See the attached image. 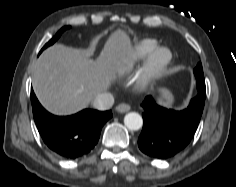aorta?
I'll use <instances>...</instances> for the list:
<instances>
[{
    "mask_svg": "<svg viewBox=\"0 0 236 187\" xmlns=\"http://www.w3.org/2000/svg\"><path fill=\"white\" fill-rule=\"evenodd\" d=\"M124 124L129 130H139L143 125V119L140 114L130 112L124 117Z\"/></svg>",
    "mask_w": 236,
    "mask_h": 187,
    "instance_id": "obj_1",
    "label": "aorta"
}]
</instances>
